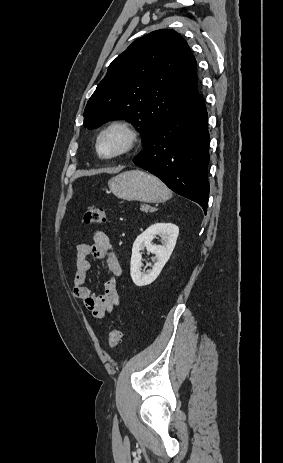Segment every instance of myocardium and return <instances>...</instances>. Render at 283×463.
Returning a JSON list of instances; mask_svg holds the SVG:
<instances>
[{
  "label": "myocardium",
  "mask_w": 283,
  "mask_h": 463,
  "mask_svg": "<svg viewBox=\"0 0 283 463\" xmlns=\"http://www.w3.org/2000/svg\"><path fill=\"white\" fill-rule=\"evenodd\" d=\"M120 131L125 137L124 144L120 149L109 155H102L99 151L101 139L110 132ZM140 140V133L137 127L130 121L117 119L105 125L97 134L95 139V150L99 158L111 160L122 157L132 152Z\"/></svg>",
  "instance_id": "myocardium-1"
}]
</instances>
